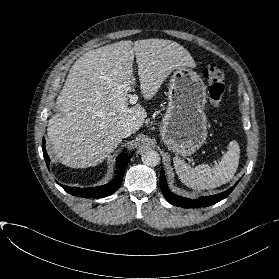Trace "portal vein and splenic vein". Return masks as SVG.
Here are the masks:
<instances>
[{"label": "portal vein and splenic vein", "mask_w": 279, "mask_h": 279, "mask_svg": "<svg viewBox=\"0 0 279 279\" xmlns=\"http://www.w3.org/2000/svg\"><path fill=\"white\" fill-rule=\"evenodd\" d=\"M129 97H130V100H129V102L131 103V104H135L136 102H137V100H138V97H137V95H129Z\"/></svg>", "instance_id": "obj_1"}]
</instances>
